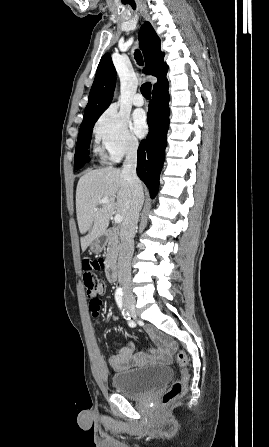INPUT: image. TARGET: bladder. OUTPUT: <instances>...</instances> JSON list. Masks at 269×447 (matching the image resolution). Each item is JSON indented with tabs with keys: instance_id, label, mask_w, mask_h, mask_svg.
I'll list each match as a JSON object with an SVG mask.
<instances>
[{
	"instance_id": "31cf9c89",
	"label": "bladder",
	"mask_w": 269,
	"mask_h": 447,
	"mask_svg": "<svg viewBox=\"0 0 269 447\" xmlns=\"http://www.w3.org/2000/svg\"><path fill=\"white\" fill-rule=\"evenodd\" d=\"M172 377V369L168 365L146 366L112 374L110 384L114 392L125 397H143L145 392L154 391Z\"/></svg>"
}]
</instances>
